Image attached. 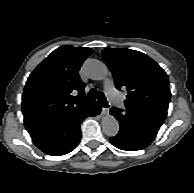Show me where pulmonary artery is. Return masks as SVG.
<instances>
[{
	"instance_id": "1",
	"label": "pulmonary artery",
	"mask_w": 194,
	"mask_h": 193,
	"mask_svg": "<svg viewBox=\"0 0 194 193\" xmlns=\"http://www.w3.org/2000/svg\"><path fill=\"white\" fill-rule=\"evenodd\" d=\"M105 90L106 94L111 100V102L118 108L123 107V100L121 95L118 93V91L113 87L112 83L110 81H107L105 83Z\"/></svg>"
}]
</instances>
